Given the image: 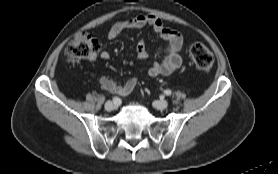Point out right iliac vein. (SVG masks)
Here are the masks:
<instances>
[{
    "label": "right iliac vein",
    "mask_w": 278,
    "mask_h": 174,
    "mask_svg": "<svg viewBox=\"0 0 278 174\" xmlns=\"http://www.w3.org/2000/svg\"><path fill=\"white\" fill-rule=\"evenodd\" d=\"M116 108V105L112 102V101H107L106 103H105V109L107 110V111H112V110H114Z\"/></svg>",
    "instance_id": "obj_1"
}]
</instances>
